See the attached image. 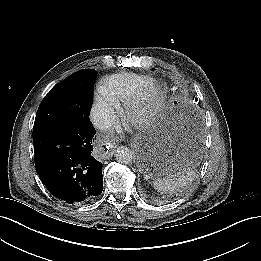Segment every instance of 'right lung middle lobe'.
Instances as JSON below:
<instances>
[{
	"mask_svg": "<svg viewBox=\"0 0 261 261\" xmlns=\"http://www.w3.org/2000/svg\"><path fill=\"white\" fill-rule=\"evenodd\" d=\"M94 77L93 69H83L56 85L39 106L33 131L56 128L76 118L89 117Z\"/></svg>",
	"mask_w": 261,
	"mask_h": 261,
	"instance_id": "obj_1",
	"label": "right lung middle lobe"
}]
</instances>
